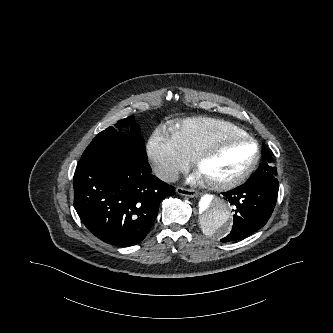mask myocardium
I'll use <instances>...</instances> for the list:
<instances>
[{
    "instance_id": "1",
    "label": "myocardium",
    "mask_w": 333,
    "mask_h": 333,
    "mask_svg": "<svg viewBox=\"0 0 333 333\" xmlns=\"http://www.w3.org/2000/svg\"><path fill=\"white\" fill-rule=\"evenodd\" d=\"M228 140H241L251 143L254 146V156L250 163L236 176L223 180V181H213L209 179H205L206 185L215 191H225L230 190L232 188L237 187L241 183H243L254 171L256 168L259 159H260V146L258 141L253 138L252 136L248 134H234V133H226L221 134L219 136L214 137L210 141H208L206 144H204L194 155L192 158L193 166L195 169L198 170L201 163L205 160V158L213 151L217 145L224 141Z\"/></svg>"
}]
</instances>
